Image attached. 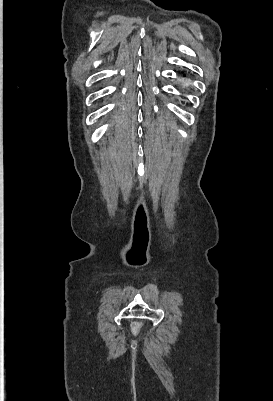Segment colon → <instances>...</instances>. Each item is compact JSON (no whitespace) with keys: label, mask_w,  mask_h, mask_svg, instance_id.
<instances>
[{"label":"colon","mask_w":273,"mask_h":401,"mask_svg":"<svg viewBox=\"0 0 273 401\" xmlns=\"http://www.w3.org/2000/svg\"><path fill=\"white\" fill-rule=\"evenodd\" d=\"M144 325V322H142L140 319H135L133 321V327L132 330L134 334H137L141 330V326Z\"/></svg>","instance_id":"colon-1"}]
</instances>
